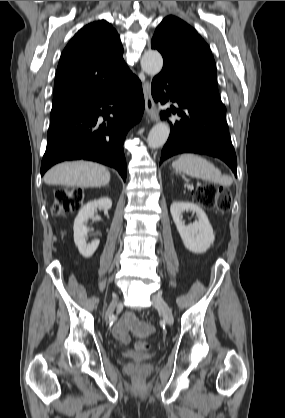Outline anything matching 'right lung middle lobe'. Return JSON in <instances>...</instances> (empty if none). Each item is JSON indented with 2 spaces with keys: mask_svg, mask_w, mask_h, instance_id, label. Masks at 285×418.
I'll use <instances>...</instances> for the list:
<instances>
[{
  "mask_svg": "<svg viewBox=\"0 0 285 418\" xmlns=\"http://www.w3.org/2000/svg\"><path fill=\"white\" fill-rule=\"evenodd\" d=\"M82 107L83 105L82 106H67V107H60V108L52 109L51 114H50V122L56 121L67 114H70L76 110L81 109Z\"/></svg>",
  "mask_w": 285,
  "mask_h": 418,
  "instance_id": "obj_1",
  "label": "right lung middle lobe"
}]
</instances>
